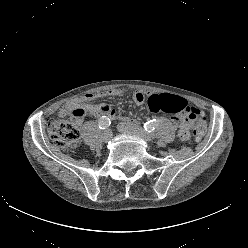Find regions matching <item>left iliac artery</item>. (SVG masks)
I'll return each instance as SVG.
<instances>
[{
  "mask_svg": "<svg viewBox=\"0 0 248 248\" xmlns=\"http://www.w3.org/2000/svg\"><path fill=\"white\" fill-rule=\"evenodd\" d=\"M157 125L158 124L156 120H150L144 124V129L147 132H153L156 129Z\"/></svg>",
  "mask_w": 248,
  "mask_h": 248,
  "instance_id": "obj_1",
  "label": "left iliac artery"
}]
</instances>
